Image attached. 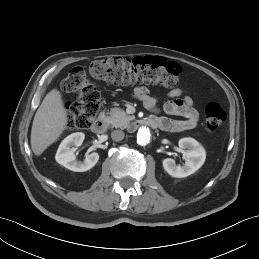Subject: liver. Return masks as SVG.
I'll list each match as a JSON object with an SVG mask.
<instances>
[{"label": "liver", "instance_id": "6515ba94", "mask_svg": "<svg viewBox=\"0 0 259 259\" xmlns=\"http://www.w3.org/2000/svg\"><path fill=\"white\" fill-rule=\"evenodd\" d=\"M68 123L67 111L61 93L52 89L43 99L33 120L31 148L36 156L41 155L54 143Z\"/></svg>", "mask_w": 259, "mask_h": 259}]
</instances>
